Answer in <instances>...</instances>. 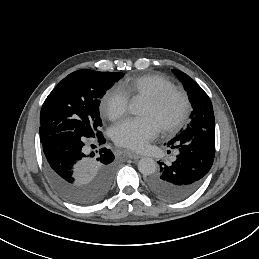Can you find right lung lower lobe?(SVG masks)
<instances>
[{"instance_id":"obj_1","label":"right lung lower lobe","mask_w":259,"mask_h":259,"mask_svg":"<svg viewBox=\"0 0 259 259\" xmlns=\"http://www.w3.org/2000/svg\"><path fill=\"white\" fill-rule=\"evenodd\" d=\"M88 142H106L102 133L87 138L67 131L42 143L47 175L61 196L87 206L103 199L110 190L116 165L114 154L103 146L89 151Z\"/></svg>"}]
</instances>
